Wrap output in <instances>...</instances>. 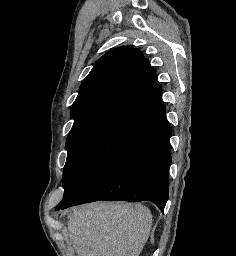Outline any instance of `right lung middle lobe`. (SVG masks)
Masks as SVG:
<instances>
[{
	"mask_svg": "<svg viewBox=\"0 0 236 256\" xmlns=\"http://www.w3.org/2000/svg\"><path fill=\"white\" fill-rule=\"evenodd\" d=\"M150 125L119 113L73 125L66 142L68 154L63 170L64 195L61 202L68 200L106 159Z\"/></svg>",
	"mask_w": 236,
	"mask_h": 256,
	"instance_id": "dd1d6c3e",
	"label": "right lung middle lobe"
}]
</instances>
